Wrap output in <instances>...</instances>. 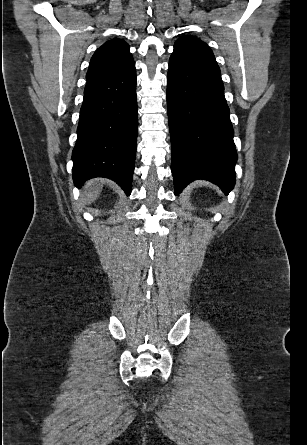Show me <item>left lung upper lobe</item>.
Instances as JSON below:
<instances>
[{
  "mask_svg": "<svg viewBox=\"0 0 307 445\" xmlns=\"http://www.w3.org/2000/svg\"><path fill=\"white\" fill-rule=\"evenodd\" d=\"M171 56L180 59L206 76L222 82L221 72L213 52L200 39L190 36L180 37L175 42Z\"/></svg>",
  "mask_w": 307,
  "mask_h": 445,
  "instance_id": "5c2ea615",
  "label": "left lung upper lobe"
}]
</instances>
